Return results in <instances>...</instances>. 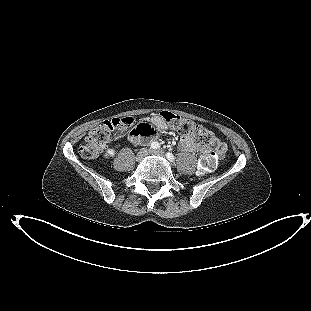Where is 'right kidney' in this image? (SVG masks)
Masks as SVG:
<instances>
[{
  "instance_id": "1",
  "label": "right kidney",
  "mask_w": 311,
  "mask_h": 311,
  "mask_svg": "<svg viewBox=\"0 0 311 311\" xmlns=\"http://www.w3.org/2000/svg\"><path fill=\"white\" fill-rule=\"evenodd\" d=\"M115 149L114 148H111V149H108L105 154H104V157L105 158H110V157H114L115 156Z\"/></svg>"
}]
</instances>
